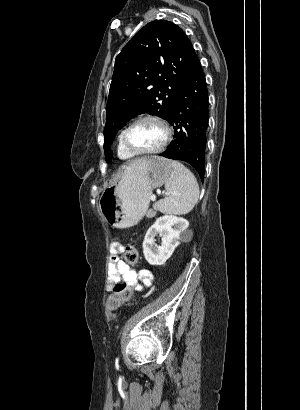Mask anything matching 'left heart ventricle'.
Here are the masks:
<instances>
[{
    "mask_svg": "<svg viewBox=\"0 0 300 410\" xmlns=\"http://www.w3.org/2000/svg\"><path fill=\"white\" fill-rule=\"evenodd\" d=\"M164 138L162 127L155 121H140L127 133L128 144L138 150H150L158 147Z\"/></svg>",
    "mask_w": 300,
    "mask_h": 410,
    "instance_id": "b2bd125f",
    "label": "left heart ventricle"
}]
</instances>
